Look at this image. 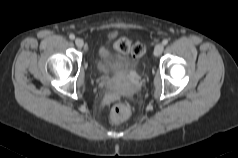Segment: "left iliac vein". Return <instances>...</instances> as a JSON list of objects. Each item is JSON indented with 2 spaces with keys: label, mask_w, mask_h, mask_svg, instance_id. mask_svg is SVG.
Returning a JSON list of instances; mask_svg holds the SVG:
<instances>
[{
  "label": "left iliac vein",
  "mask_w": 238,
  "mask_h": 158,
  "mask_svg": "<svg viewBox=\"0 0 238 158\" xmlns=\"http://www.w3.org/2000/svg\"><path fill=\"white\" fill-rule=\"evenodd\" d=\"M163 50H164V45L161 44V43H159V44H157V45L155 46L154 54H155L156 56H159V55H161V53L163 52Z\"/></svg>",
  "instance_id": "obj_1"
}]
</instances>
